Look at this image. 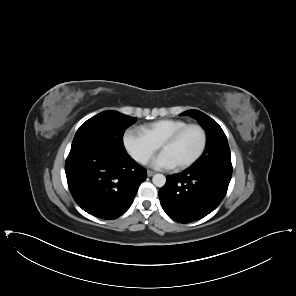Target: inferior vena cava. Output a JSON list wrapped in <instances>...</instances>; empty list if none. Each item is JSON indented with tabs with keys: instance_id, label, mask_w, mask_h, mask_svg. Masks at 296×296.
Listing matches in <instances>:
<instances>
[{
	"instance_id": "602c4592",
	"label": "inferior vena cava",
	"mask_w": 296,
	"mask_h": 296,
	"mask_svg": "<svg viewBox=\"0 0 296 296\" xmlns=\"http://www.w3.org/2000/svg\"><path fill=\"white\" fill-rule=\"evenodd\" d=\"M135 159L138 162L142 163V164H146L148 162V160H149V156L148 155H144V154H137L135 156Z\"/></svg>"
}]
</instances>
